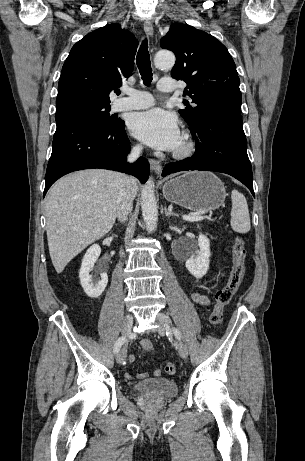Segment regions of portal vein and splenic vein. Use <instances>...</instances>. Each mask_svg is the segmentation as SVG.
Returning a JSON list of instances; mask_svg holds the SVG:
<instances>
[{
  "mask_svg": "<svg viewBox=\"0 0 305 461\" xmlns=\"http://www.w3.org/2000/svg\"><path fill=\"white\" fill-rule=\"evenodd\" d=\"M203 213H198V214H194V215H183L182 216V219L185 220V221H199V220H203L204 218H206V216H203L202 215Z\"/></svg>",
  "mask_w": 305,
  "mask_h": 461,
  "instance_id": "18ae733b",
  "label": "portal vein and splenic vein"
}]
</instances>
